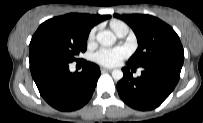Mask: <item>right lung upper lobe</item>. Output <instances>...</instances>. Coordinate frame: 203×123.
I'll use <instances>...</instances> for the list:
<instances>
[{"mask_svg":"<svg viewBox=\"0 0 203 123\" xmlns=\"http://www.w3.org/2000/svg\"><path fill=\"white\" fill-rule=\"evenodd\" d=\"M65 16L76 19L89 30H91V28L96 24L111 17L110 15H90V14H78V13H70Z\"/></svg>","mask_w":203,"mask_h":123,"instance_id":"right-lung-upper-lobe-1","label":"right lung upper lobe"}]
</instances>
